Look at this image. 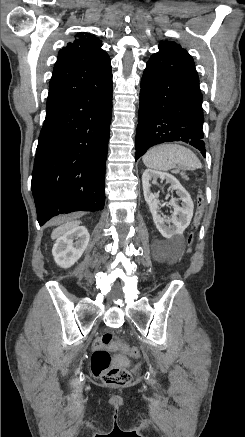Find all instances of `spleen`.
<instances>
[{"label":"spleen","mask_w":245,"mask_h":437,"mask_svg":"<svg viewBox=\"0 0 245 437\" xmlns=\"http://www.w3.org/2000/svg\"><path fill=\"white\" fill-rule=\"evenodd\" d=\"M143 162L148 168L160 171H168L176 166L182 170H195L202 166L192 150L179 144L154 146L143 156Z\"/></svg>","instance_id":"3e777b00"}]
</instances>
